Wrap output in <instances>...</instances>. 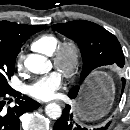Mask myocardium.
Here are the masks:
<instances>
[{"instance_id": "f54148a6", "label": "myocardium", "mask_w": 130, "mask_h": 130, "mask_svg": "<svg viewBox=\"0 0 130 130\" xmlns=\"http://www.w3.org/2000/svg\"><path fill=\"white\" fill-rule=\"evenodd\" d=\"M81 59V47L73 39L60 42L52 54L54 66L67 77H72L77 73Z\"/></svg>"}]
</instances>
